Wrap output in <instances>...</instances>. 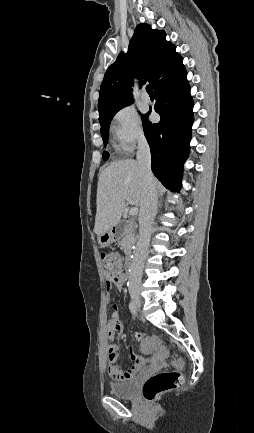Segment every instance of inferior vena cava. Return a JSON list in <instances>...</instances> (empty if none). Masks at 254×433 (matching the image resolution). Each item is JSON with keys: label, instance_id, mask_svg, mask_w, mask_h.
Returning <instances> with one entry per match:
<instances>
[{"label": "inferior vena cava", "instance_id": "602c4592", "mask_svg": "<svg viewBox=\"0 0 254 433\" xmlns=\"http://www.w3.org/2000/svg\"><path fill=\"white\" fill-rule=\"evenodd\" d=\"M137 161L144 183V197L139 213V239L130 265L129 289L139 288L152 235V221L157 212V190L151 171L150 148L145 137L138 140Z\"/></svg>", "mask_w": 254, "mask_h": 433}]
</instances>
